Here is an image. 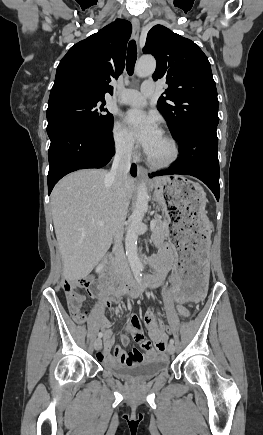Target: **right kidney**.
Here are the masks:
<instances>
[{
	"label": "right kidney",
	"instance_id": "1",
	"mask_svg": "<svg viewBox=\"0 0 263 435\" xmlns=\"http://www.w3.org/2000/svg\"><path fill=\"white\" fill-rule=\"evenodd\" d=\"M102 269H103V266H102V265H99V266H97V268H96V272H97V273H100V272L102 271Z\"/></svg>",
	"mask_w": 263,
	"mask_h": 435
}]
</instances>
